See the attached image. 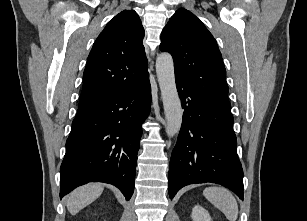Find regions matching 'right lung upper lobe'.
Segmentation results:
<instances>
[{"label":"right lung upper lobe","mask_w":307,"mask_h":221,"mask_svg":"<svg viewBox=\"0 0 307 221\" xmlns=\"http://www.w3.org/2000/svg\"><path fill=\"white\" fill-rule=\"evenodd\" d=\"M143 38L134 10L120 12L106 25L87 59L78 110L143 84L149 77Z\"/></svg>","instance_id":"cb5924a9"}]
</instances>
